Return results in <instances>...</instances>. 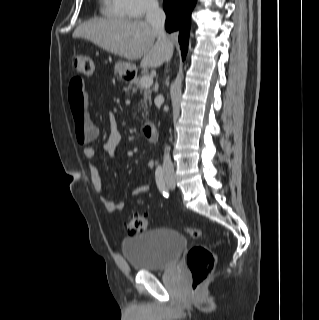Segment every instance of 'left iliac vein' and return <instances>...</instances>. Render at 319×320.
<instances>
[{
  "label": "left iliac vein",
  "mask_w": 319,
  "mask_h": 320,
  "mask_svg": "<svg viewBox=\"0 0 319 320\" xmlns=\"http://www.w3.org/2000/svg\"><path fill=\"white\" fill-rule=\"evenodd\" d=\"M167 186L170 189H174L175 188V181L173 179L172 180H167Z\"/></svg>",
  "instance_id": "4c4485c4"
}]
</instances>
